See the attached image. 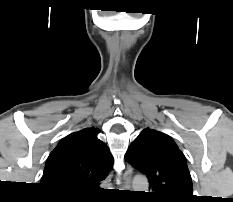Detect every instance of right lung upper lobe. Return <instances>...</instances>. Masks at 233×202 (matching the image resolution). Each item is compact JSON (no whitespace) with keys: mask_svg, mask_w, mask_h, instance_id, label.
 Masks as SVG:
<instances>
[{"mask_svg":"<svg viewBox=\"0 0 233 202\" xmlns=\"http://www.w3.org/2000/svg\"><path fill=\"white\" fill-rule=\"evenodd\" d=\"M97 133L86 128L63 138L47 159L41 184L58 196L94 194L113 165L109 148Z\"/></svg>","mask_w":233,"mask_h":202,"instance_id":"right-lung-upper-lobe-1","label":"right lung upper lobe"}]
</instances>
